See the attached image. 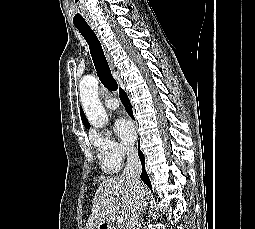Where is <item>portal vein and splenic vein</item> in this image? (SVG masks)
I'll return each mask as SVG.
<instances>
[{
  "mask_svg": "<svg viewBox=\"0 0 255 229\" xmlns=\"http://www.w3.org/2000/svg\"><path fill=\"white\" fill-rule=\"evenodd\" d=\"M122 222H124V217H123L122 215H119V216L117 217V223H118V224H121Z\"/></svg>",
  "mask_w": 255,
  "mask_h": 229,
  "instance_id": "obj_1",
  "label": "portal vein and splenic vein"
}]
</instances>
